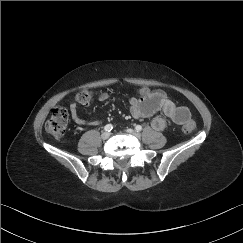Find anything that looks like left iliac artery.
Here are the masks:
<instances>
[{
  "label": "left iliac artery",
  "mask_w": 243,
  "mask_h": 243,
  "mask_svg": "<svg viewBox=\"0 0 243 243\" xmlns=\"http://www.w3.org/2000/svg\"><path fill=\"white\" fill-rule=\"evenodd\" d=\"M135 130H136L137 132L141 131V130H142V126H141V125H137V126L135 127Z\"/></svg>",
  "instance_id": "1"
}]
</instances>
